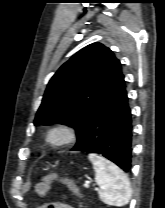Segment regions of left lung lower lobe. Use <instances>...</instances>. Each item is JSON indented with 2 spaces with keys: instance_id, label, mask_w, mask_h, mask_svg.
Masks as SVG:
<instances>
[{
  "instance_id": "obj_1",
  "label": "left lung lower lobe",
  "mask_w": 165,
  "mask_h": 208,
  "mask_svg": "<svg viewBox=\"0 0 165 208\" xmlns=\"http://www.w3.org/2000/svg\"><path fill=\"white\" fill-rule=\"evenodd\" d=\"M132 119L124 76L94 111L72 151L100 153L125 172L131 170Z\"/></svg>"
}]
</instances>
